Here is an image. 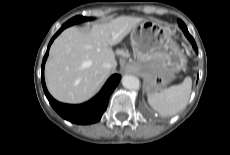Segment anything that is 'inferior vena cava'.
Here are the masks:
<instances>
[{
	"mask_svg": "<svg viewBox=\"0 0 230 155\" xmlns=\"http://www.w3.org/2000/svg\"><path fill=\"white\" fill-rule=\"evenodd\" d=\"M116 65V61L114 59H108L103 63V67L107 70L110 71L112 68H114Z\"/></svg>",
	"mask_w": 230,
	"mask_h": 155,
	"instance_id": "obj_1",
	"label": "inferior vena cava"
}]
</instances>
